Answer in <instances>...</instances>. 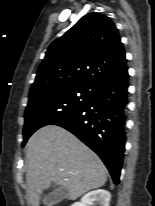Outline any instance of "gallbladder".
I'll return each mask as SVG.
<instances>
[{
	"mask_svg": "<svg viewBox=\"0 0 155 206\" xmlns=\"http://www.w3.org/2000/svg\"><path fill=\"white\" fill-rule=\"evenodd\" d=\"M67 195V190L65 188H53L43 199L45 206H54L55 204L61 202Z\"/></svg>",
	"mask_w": 155,
	"mask_h": 206,
	"instance_id": "1",
	"label": "gallbladder"
}]
</instances>
